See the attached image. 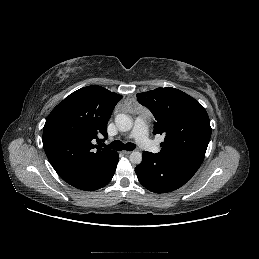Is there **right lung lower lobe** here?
I'll list each match as a JSON object with an SVG mask.
<instances>
[{"mask_svg":"<svg viewBox=\"0 0 259 259\" xmlns=\"http://www.w3.org/2000/svg\"><path fill=\"white\" fill-rule=\"evenodd\" d=\"M119 160L118 154L108 165L97 171L91 172L75 181L69 182L70 185L86 191H94L106 186L112 179Z\"/></svg>","mask_w":259,"mask_h":259,"instance_id":"1","label":"right lung lower lobe"}]
</instances>
